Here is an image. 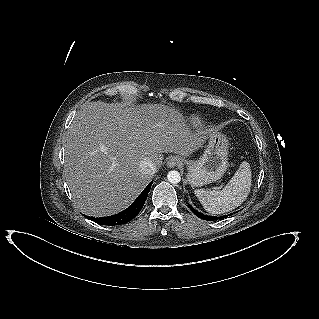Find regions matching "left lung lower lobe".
Listing matches in <instances>:
<instances>
[{"label": "left lung lower lobe", "instance_id": "0a47b994", "mask_svg": "<svg viewBox=\"0 0 319 319\" xmlns=\"http://www.w3.org/2000/svg\"><path fill=\"white\" fill-rule=\"evenodd\" d=\"M189 208L192 210V212L198 216L199 218L201 219H204V220H216V219H222V218H225V217H228V215H225V216H221V217H211V216H207V215H204L202 213H199L197 210H195L191 205H188Z\"/></svg>", "mask_w": 319, "mask_h": 319}]
</instances>
